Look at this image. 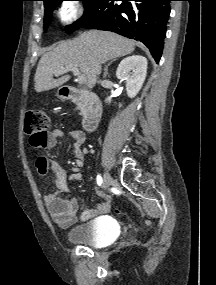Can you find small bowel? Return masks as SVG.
Wrapping results in <instances>:
<instances>
[{
  "label": "small bowel",
  "instance_id": "1",
  "mask_svg": "<svg viewBox=\"0 0 216 285\" xmlns=\"http://www.w3.org/2000/svg\"><path fill=\"white\" fill-rule=\"evenodd\" d=\"M63 136L64 131L62 129L52 130L48 133L49 139L45 148H54ZM69 136L73 140L72 154L75 163V174H73L72 179L79 180L81 176L77 171L84 162L85 154L82 146L86 141V135L81 130L73 129L69 131ZM36 167L40 175H45L50 167L55 173V191L45 195L43 200L50 217L60 227H69L78 219L87 221L99 214L106 213L110 209L109 201H104L93 208L83 210L77 217L78 202L74 198L65 196L69 192V179L65 171L55 160L46 157H39L36 161Z\"/></svg>",
  "mask_w": 216,
  "mask_h": 285
}]
</instances>
